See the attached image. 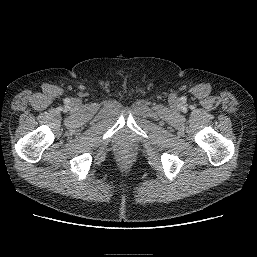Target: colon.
<instances>
[{
  "mask_svg": "<svg viewBox=\"0 0 257 257\" xmlns=\"http://www.w3.org/2000/svg\"><path fill=\"white\" fill-rule=\"evenodd\" d=\"M123 156L125 157V158H129L130 157V155H131V150L129 149V148H124V150H123Z\"/></svg>",
  "mask_w": 257,
  "mask_h": 257,
  "instance_id": "obj_1",
  "label": "colon"
}]
</instances>
